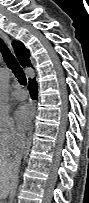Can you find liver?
Wrapping results in <instances>:
<instances>
[{
	"label": "liver",
	"instance_id": "1",
	"mask_svg": "<svg viewBox=\"0 0 89 203\" xmlns=\"http://www.w3.org/2000/svg\"><path fill=\"white\" fill-rule=\"evenodd\" d=\"M19 162L11 158L0 159V197L6 198L13 188L17 177Z\"/></svg>",
	"mask_w": 89,
	"mask_h": 203
}]
</instances>
